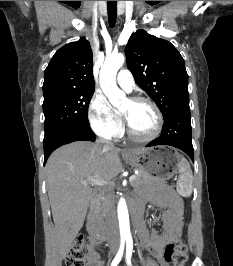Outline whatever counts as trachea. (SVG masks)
Here are the masks:
<instances>
[{
  "label": "trachea",
  "instance_id": "obj_1",
  "mask_svg": "<svg viewBox=\"0 0 233 266\" xmlns=\"http://www.w3.org/2000/svg\"><path fill=\"white\" fill-rule=\"evenodd\" d=\"M116 5H117L116 1H107L108 20L111 28H113L116 23V17H117Z\"/></svg>",
  "mask_w": 233,
  "mask_h": 266
}]
</instances>
